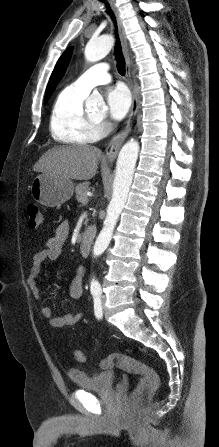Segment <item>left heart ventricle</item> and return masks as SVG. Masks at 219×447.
Returning <instances> with one entry per match:
<instances>
[{
  "mask_svg": "<svg viewBox=\"0 0 219 447\" xmlns=\"http://www.w3.org/2000/svg\"><path fill=\"white\" fill-rule=\"evenodd\" d=\"M92 117L96 120H99L102 117V113L93 114Z\"/></svg>",
  "mask_w": 219,
  "mask_h": 447,
  "instance_id": "left-heart-ventricle-1",
  "label": "left heart ventricle"
}]
</instances>
